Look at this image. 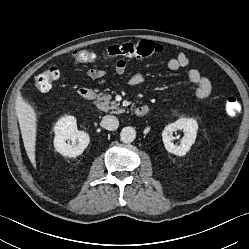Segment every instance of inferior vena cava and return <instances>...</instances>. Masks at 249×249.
Masks as SVG:
<instances>
[{"mask_svg": "<svg viewBox=\"0 0 249 249\" xmlns=\"http://www.w3.org/2000/svg\"><path fill=\"white\" fill-rule=\"evenodd\" d=\"M102 125L105 129L110 130V131H114L118 128L119 121L113 115H106L103 117Z\"/></svg>", "mask_w": 249, "mask_h": 249, "instance_id": "inferior-vena-cava-1", "label": "inferior vena cava"}]
</instances>
